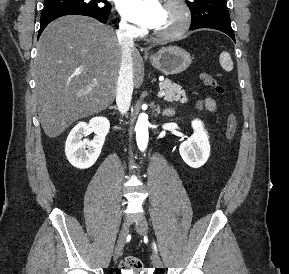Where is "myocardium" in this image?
Listing matches in <instances>:
<instances>
[{"label":"myocardium","instance_id":"1","mask_svg":"<svg viewBox=\"0 0 289 274\" xmlns=\"http://www.w3.org/2000/svg\"><path fill=\"white\" fill-rule=\"evenodd\" d=\"M164 5L176 7L180 13V21L178 25L171 30H153V35L164 40L177 38L185 33L190 26L192 19L190 7L185 0H165Z\"/></svg>","mask_w":289,"mask_h":274}]
</instances>
